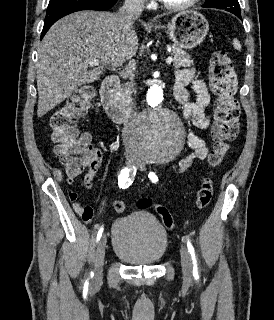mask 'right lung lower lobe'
<instances>
[{"label": "right lung lower lobe", "instance_id": "obj_1", "mask_svg": "<svg viewBox=\"0 0 274 320\" xmlns=\"http://www.w3.org/2000/svg\"><path fill=\"white\" fill-rule=\"evenodd\" d=\"M117 0H66L62 3L47 8L41 39L49 28L60 18L77 11L110 9Z\"/></svg>", "mask_w": 274, "mask_h": 320}]
</instances>
